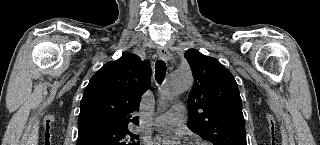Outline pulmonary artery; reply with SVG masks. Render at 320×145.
<instances>
[{
	"instance_id": "obj_1",
	"label": "pulmonary artery",
	"mask_w": 320,
	"mask_h": 145,
	"mask_svg": "<svg viewBox=\"0 0 320 145\" xmlns=\"http://www.w3.org/2000/svg\"><path fill=\"white\" fill-rule=\"evenodd\" d=\"M185 118V106L183 104H175L172 108L157 116L153 124L155 126L166 127V126H178Z\"/></svg>"
}]
</instances>
